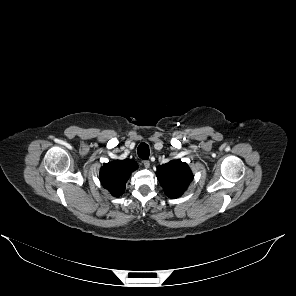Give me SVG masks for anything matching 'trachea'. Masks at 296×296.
I'll use <instances>...</instances> for the list:
<instances>
[{"mask_svg":"<svg viewBox=\"0 0 296 296\" xmlns=\"http://www.w3.org/2000/svg\"><path fill=\"white\" fill-rule=\"evenodd\" d=\"M137 153L141 159L147 160L150 154L149 146L146 143H141L138 146Z\"/></svg>","mask_w":296,"mask_h":296,"instance_id":"trachea-1","label":"trachea"}]
</instances>
